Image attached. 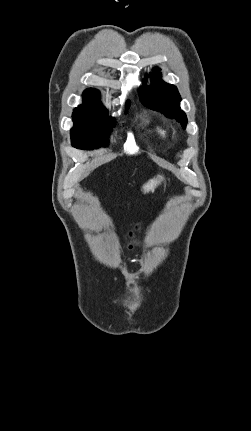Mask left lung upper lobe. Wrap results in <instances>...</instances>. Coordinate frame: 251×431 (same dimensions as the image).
Here are the masks:
<instances>
[{"instance_id":"left-lung-upper-lobe-1","label":"left lung upper lobe","mask_w":251,"mask_h":431,"mask_svg":"<svg viewBox=\"0 0 251 431\" xmlns=\"http://www.w3.org/2000/svg\"><path fill=\"white\" fill-rule=\"evenodd\" d=\"M151 86L144 85L140 90L141 102L150 109L157 110L169 118H175L185 129L187 125L186 114L180 109L181 97L174 85L161 80L159 68L150 73Z\"/></svg>"}]
</instances>
